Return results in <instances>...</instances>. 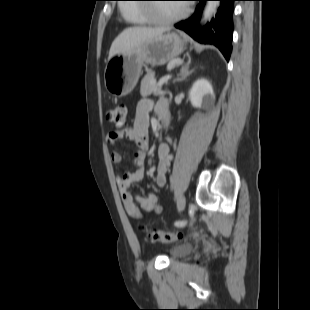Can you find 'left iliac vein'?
Here are the masks:
<instances>
[{"mask_svg": "<svg viewBox=\"0 0 310 310\" xmlns=\"http://www.w3.org/2000/svg\"><path fill=\"white\" fill-rule=\"evenodd\" d=\"M186 199L183 195L179 196L177 201V208L179 211H182L185 208Z\"/></svg>", "mask_w": 310, "mask_h": 310, "instance_id": "left-iliac-vein-1", "label": "left iliac vein"}]
</instances>
